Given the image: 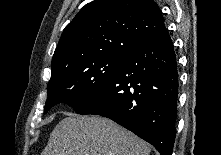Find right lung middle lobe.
Instances as JSON below:
<instances>
[{"label":"right lung middle lobe","mask_w":221,"mask_h":155,"mask_svg":"<svg viewBox=\"0 0 221 155\" xmlns=\"http://www.w3.org/2000/svg\"><path fill=\"white\" fill-rule=\"evenodd\" d=\"M126 55L112 54L81 59L52 74L44 113L65 101L81 111L111 80Z\"/></svg>","instance_id":"right-lung-middle-lobe-1"}]
</instances>
